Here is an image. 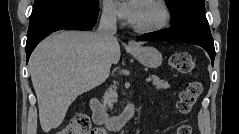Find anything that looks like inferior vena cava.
<instances>
[{
	"label": "inferior vena cava",
	"mask_w": 239,
	"mask_h": 134,
	"mask_svg": "<svg viewBox=\"0 0 239 134\" xmlns=\"http://www.w3.org/2000/svg\"><path fill=\"white\" fill-rule=\"evenodd\" d=\"M116 31V15L111 9L105 8L103 10L99 28L97 30V35L103 49V52L98 61L97 71L98 74L104 79L109 75L111 66L109 60L106 57V50L116 40L114 36L116 34Z\"/></svg>",
	"instance_id": "inferior-vena-cava-1"
}]
</instances>
